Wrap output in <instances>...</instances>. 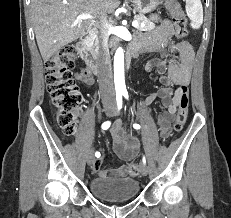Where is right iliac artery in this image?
<instances>
[{"label": "right iliac artery", "instance_id": "obj_1", "mask_svg": "<svg viewBox=\"0 0 231 218\" xmlns=\"http://www.w3.org/2000/svg\"><path fill=\"white\" fill-rule=\"evenodd\" d=\"M116 100H117V105H118V110L121 109L122 107V93H117L116 94ZM110 122L109 121H106L102 124V129L106 130L110 127ZM95 156L96 157H99L100 156V153L99 152H96L95 153Z\"/></svg>", "mask_w": 231, "mask_h": 218}]
</instances>
